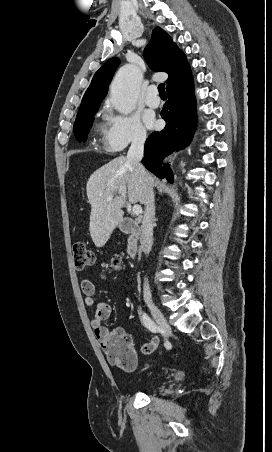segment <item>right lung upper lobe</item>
Listing matches in <instances>:
<instances>
[{
	"label": "right lung upper lobe",
	"mask_w": 272,
	"mask_h": 452,
	"mask_svg": "<svg viewBox=\"0 0 272 452\" xmlns=\"http://www.w3.org/2000/svg\"><path fill=\"white\" fill-rule=\"evenodd\" d=\"M144 57L152 70L168 73L167 91L192 77L185 54L160 27L154 29L151 41L145 48ZM119 63L118 58H111L95 73L82 99L80 109L101 104Z\"/></svg>",
	"instance_id": "obj_1"
}]
</instances>
